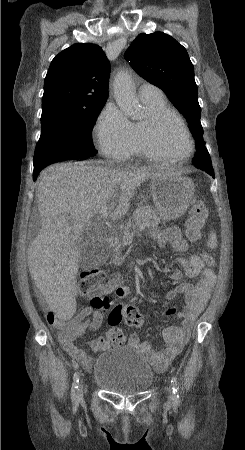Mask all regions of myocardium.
<instances>
[{
	"label": "myocardium",
	"instance_id": "myocardium-1",
	"mask_svg": "<svg viewBox=\"0 0 245 450\" xmlns=\"http://www.w3.org/2000/svg\"><path fill=\"white\" fill-rule=\"evenodd\" d=\"M175 122L184 132L189 145L190 150L187 154L182 156H173L166 153L160 143H159V134L161 132L162 127L168 122ZM142 136L145 149L151 159H174V160H187L189 159L193 153L195 152V143L191 136L189 129L186 125L179 121L174 115L170 113H162L156 116H151L145 122L142 128Z\"/></svg>",
	"mask_w": 245,
	"mask_h": 450
}]
</instances>
